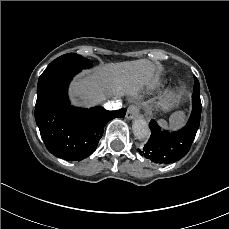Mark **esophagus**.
<instances>
[{
    "label": "esophagus",
    "mask_w": 229,
    "mask_h": 229,
    "mask_svg": "<svg viewBox=\"0 0 229 229\" xmlns=\"http://www.w3.org/2000/svg\"><path fill=\"white\" fill-rule=\"evenodd\" d=\"M139 109L135 105H130L126 112V118L128 120L134 119L138 115Z\"/></svg>",
    "instance_id": "1"
}]
</instances>
